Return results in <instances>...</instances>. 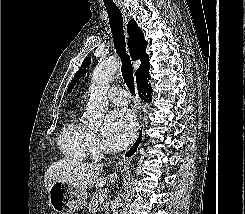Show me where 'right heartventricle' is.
Returning <instances> with one entry per match:
<instances>
[{
	"instance_id": "obj_1",
	"label": "right heart ventricle",
	"mask_w": 245,
	"mask_h": 214,
	"mask_svg": "<svg viewBox=\"0 0 245 214\" xmlns=\"http://www.w3.org/2000/svg\"><path fill=\"white\" fill-rule=\"evenodd\" d=\"M88 129L77 119L74 111L62 127L57 138V144L62 154L69 160L83 161L88 152Z\"/></svg>"
}]
</instances>
